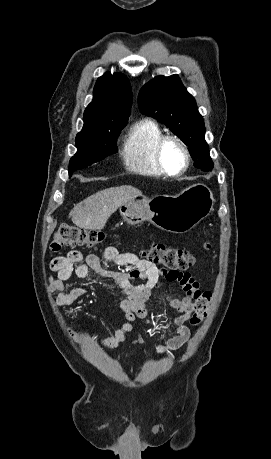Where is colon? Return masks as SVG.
<instances>
[{
	"label": "colon",
	"instance_id": "obj_1",
	"mask_svg": "<svg viewBox=\"0 0 271 459\" xmlns=\"http://www.w3.org/2000/svg\"><path fill=\"white\" fill-rule=\"evenodd\" d=\"M105 239V234L99 230L86 229L72 224L61 225L54 234L51 249L58 251L63 247H96ZM205 249L210 248L208 241L204 242ZM150 262L163 266L168 271H184L195 262V256L187 249L170 248L161 243H154L142 252ZM211 292L202 291L195 301L194 310L188 322L195 326L207 316Z\"/></svg>",
	"mask_w": 271,
	"mask_h": 459
}]
</instances>
